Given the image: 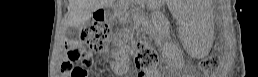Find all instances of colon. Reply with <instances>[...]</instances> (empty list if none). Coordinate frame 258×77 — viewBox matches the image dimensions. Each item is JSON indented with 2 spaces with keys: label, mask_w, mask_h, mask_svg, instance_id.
Returning a JSON list of instances; mask_svg holds the SVG:
<instances>
[{
  "label": "colon",
  "mask_w": 258,
  "mask_h": 77,
  "mask_svg": "<svg viewBox=\"0 0 258 77\" xmlns=\"http://www.w3.org/2000/svg\"><path fill=\"white\" fill-rule=\"evenodd\" d=\"M110 31L104 22H96L84 28L80 39L84 46L92 51L104 48ZM136 65L142 71H152L157 66V54L154 49L140 43L137 45ZM90 61L85 60L84 52L78 48H70L66 52V58L62 63V71L68 77H87V68ZM219 60L216 57H208L202 62L205 73L217 70Z\"/></svg>",
  "instance_id": "colon-1"
}]
</instances>
